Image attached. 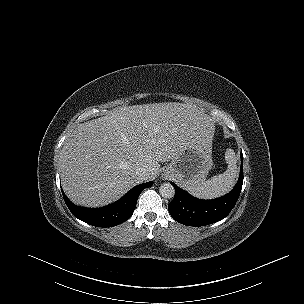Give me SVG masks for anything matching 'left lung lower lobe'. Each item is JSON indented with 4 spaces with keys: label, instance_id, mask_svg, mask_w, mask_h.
I'll use <instances>...</instances> for the list:
<instances>
[{
    "label": "left lung lower lobe",
    "instance_id": "0a47b994",
    "mask_svg": "<svg viewBox=\"0 0 304 304\" xmlns=\"http://www.w3.org/2000/svg\"><path fill=\"white\" fill-rule=\"evenodd\" d=\"M243 155L241 152L240 175L233 190L217 199L201 200L180 189L175 188L174 199L169 203L170 215L177 222L188 226H205L224 219L235 206L243 185Z\"/></svg>",
    "mask_w": 304,
    "mask_h": 304
}]
</instances>
